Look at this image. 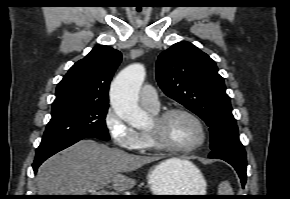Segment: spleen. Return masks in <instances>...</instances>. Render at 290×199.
Returning a JSON list of instances; mask_svg holds the SVG:
<instances>
[{
	"instance_id": "obj_1",
	"label": "spleen",
	"mask_w": 290,
	"mask_h": 199,
	"mask_svg": "<svg viewBox=\"0 0 290 199\" xmlns=\"http://www.w3.org/2000/svg\"><path fill=\"white\" fill-rule=\"evenodd\" d=\"M219 195H233V190L228 181H224L219 185Z\"/></svg>"
}]
</instances>
